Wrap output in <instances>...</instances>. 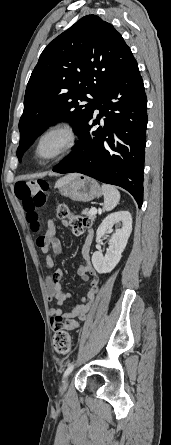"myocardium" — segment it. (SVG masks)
I'll return each mask as SVG.
<instances>
[{"label":"myocardium","mask_w":171,"mask_h":445,"mask_svg":"<svg viewBox=\"0 0 171 445\" xmlns=\"http://www.w3.org/2000/svg\"><path fill=\"white\" fill-rule=\"evenodd\" d=\"M52 135H60L63 138V143L60 148L50 156H42L39 152L42 142ZM78 143V133L75 127L68 122H56L49 125L38 136L34 146V156L42 162L56 161L69 153H71Z\"/></svg>","instance_id":"myocardium-1"}]
</instances>
